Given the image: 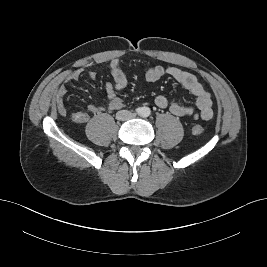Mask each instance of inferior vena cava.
Segmentation results:
<instances>
[{"label":"inferior vena cava","instance_id":"1","mask_svg":"<svg viewBox=\"0 0 267 267\" xmlns=\"http://www.w3.org/2000/svg\"><path fill=\"white\" fill-rule=\"evenodd\" d=\"M134 117V114L127 110L117 112L116 118L118 120L126 121Z\"/></svg>","mask_w":267,"mask_h":267}]
</instances>
